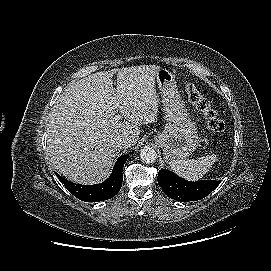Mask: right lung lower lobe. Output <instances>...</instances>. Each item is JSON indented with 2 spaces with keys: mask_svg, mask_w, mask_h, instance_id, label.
<instances>
[{
  "mask_svg": "<svg viewBox=\"0 0 271 271\" xmlns=\"http://www.w3.org/2000/svg\"><path fill=\"white\" fill-rule=\"evenodd\" d=\"M128 155L121 156L114 165L111 176L101 184L80 185L70 182L55 172L65 188L76 198L86 202H98L107 200L115 196L123 182V167Z\"/></svg>",
  "mask_w": 271,
  "mask_h": 271,
  "instance_id": "right-lung-lower-lobe-1",
  "label": "right lung lower lobe"
}]
</instances>
